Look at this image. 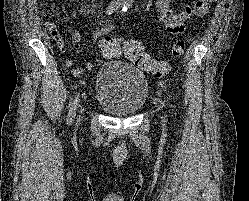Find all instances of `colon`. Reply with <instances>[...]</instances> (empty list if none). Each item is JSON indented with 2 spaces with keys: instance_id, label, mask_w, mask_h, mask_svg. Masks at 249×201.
I'll list each match as a JSON object with an SVG mask.
<instances>
[{
  "instance_id": "5ec220e1",
  "label": "colon",
  "mask_w": 249,
  "mask_h": 201,
  "mask_svg": "<svg viewBox=\"0 0 249 201\" xmlns=\"http://www.w3.org/2000/svg\"><path fill=\"white\" fill-rule=\"evenodd\" d=\"M100 52L104 58L112 59L123 52L124 56L135 63L141 69L153 76H164L169 70V64L163 60H156L144 51L140 41L129 39L120 41L111 36H105L98 43ZM185 45L183 42H176L172 46V55L180 57L184 54Z\"/></svg>"
}]
</instances>
